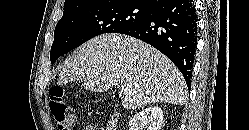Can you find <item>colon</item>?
<instances>
[{"instance_id": "colon-1", "label": "colon", "mask_w": 249, "mask_h": 130, "mask_svg": "<svg viewBox=\"0 0 249 130\" xmlns=\"http://www.w3.org/2000/svg\"><path fill=\"white\" fill-rule=\"evenodd\" d=\"M49 107L58 130H73L76 118L73 109L64 99V91L55 86L50 90Z\"/></svg>"}]
</instances>
